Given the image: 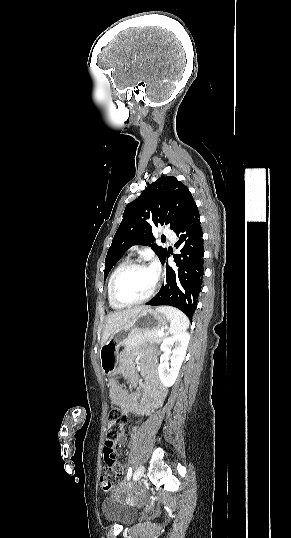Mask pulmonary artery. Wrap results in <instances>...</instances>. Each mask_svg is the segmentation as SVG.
Returning <instances> with one entry per match:
<instances>
[{
    "label": "pulmonary artery",
    "mask_w": 291,
    "mask_h": 538,
    "mask_svg": "<svg viewBox=\"0 0 291 538\" xmlns=\"http://www.w3.org/2000/svg\"><path fill=\"white\" fill-rule=\"evenodd\" d=\"M163 235L168 238L171 242H175L176 240V235L173 231L169 230V229H166L163 231ZM136 248H133L132 249V252L135 251Z\"/></svg>",
    "instance_id": "e3ab8cb5"
}]
</instances>
